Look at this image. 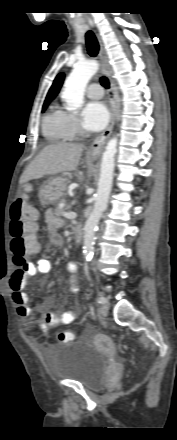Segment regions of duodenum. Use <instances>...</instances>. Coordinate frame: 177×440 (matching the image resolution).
<instances>
[{
	"instance_id": "duodenum-1",
	"label": "duodenum",
	"mask_w": 177,
	"mask_h": 440,
	"mask_svg": "<svg viewBox=\"0 0 177 440\" xmlns=\"http://www.w3.org/2000/svg\"><path fill=\"white\" fill-rule=\"evenodd\" d=\"M73 235H74L75 243L77 245L80 244L82 242L83 235H84L82 226H80V225L74 226L73 227Z\"/></svg>"
}]
</instances>
